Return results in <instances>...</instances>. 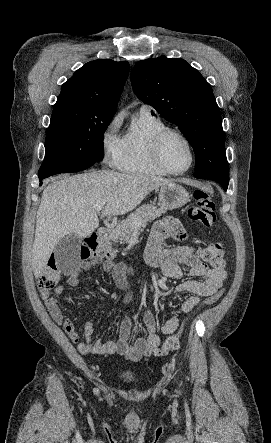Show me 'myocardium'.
<instances>
[{
    "label": "myocardium",
    "instance_id": "obj_1",
    "mask_svg": "<svg viewBox=\"0 0 271 443\" xmlns=\"http://www.w3.org/2000/svg\"><path fill=\"white\" fill-rule=\"evenodd\" d=\"M172 134H175V135H178L179 137H181L188 145L190 153H191L190 164L188 165V167H186L185 169H182V170H174V169L170 168L166 164V162L163 158V155H162L163 143L166 140V138ZM151 149H152V155H153V159H154L155 163L168 174H174V175L183 174V173L188 172L194 166L195 157H196L194 145L191 142V140L188 138L187 135H185L182 131H180L176 128L166 127L164 129L160 130L155 135V137L153 139Z\"/></svg>",
    "mask_w": 271,
    "mask_h": 443
}]
</instances>
